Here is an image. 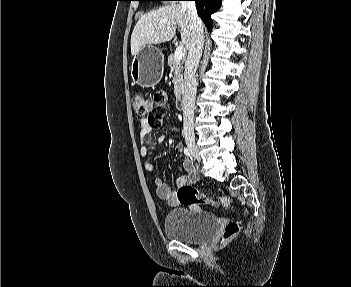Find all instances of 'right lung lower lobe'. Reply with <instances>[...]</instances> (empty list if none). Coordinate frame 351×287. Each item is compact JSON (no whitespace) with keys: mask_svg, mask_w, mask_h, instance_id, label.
I'll use <instances>...</instances> for the list:
<instances>
[{"mask_svg":"<svg viewBox=\"0 0 351 287\" xmlns=\"http://www.w3.org/2000/svg\"><path fill=\"white\" fill-rule=\"evenodd\" d=\"M196 2L197 13L204 21L208 30L212 28L211 15L219 8L222 0H194Z\"/></svg>","mask_w":351,"mask_h":287,"instance_id":"right-lung-lower-lobe-1","label":"right lung lower lobe"}]
</instances>
